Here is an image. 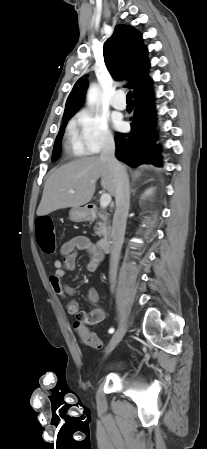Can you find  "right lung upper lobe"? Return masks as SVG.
I'll return each mask as SVG.
<instances>
[{
	"label": "right lung upper lobe",
	"mask_w": 207,
	"mask_h": 449,
	"mask_svg": "<svg viewBox=\"0 0 207 449\" xmlns=\"http://www.w3.org/2000/svg\"><path fill=\"white\" fill-rule=\"evenodd\" d=\"M142 35L126 25H117L113 35L105 42L104 60L112 77L117 80H129L126 87L133 89V95L151 87V78L147 75L150 62L147 60V48L142 43ZM88 81L80 78L68 96L63 120L71 118L84 102Z\"/></svg>",
	"instance_id": "right-lung-upper-lobe-1"
}]
</instances>
